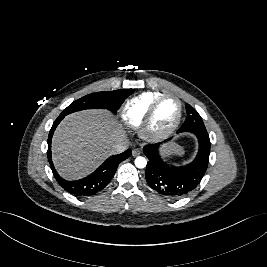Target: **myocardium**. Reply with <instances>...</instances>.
I'll return each instance as SVG.
<instances>
[{
  "label": "myocardium",
  "mask_w": 267,
  "mask_h": 267,
  "mask_svg": "<svg viewBox=\"0 0 267 267\" xmlns=\"http://www.w3.org/2000/svg\"><path fill=\"white\" fill-rule=\"evenodd\" d=\"M167 98H173L177 101V103H178L177 118H176L175 122L173 123V125L168 130H166L164 132H155L151 129L153 117L155 115V112H156L159 104ZM182 115H183V103H182L181 99L175 94H162L161 96L156 98L149 106V108H148V110H147V112H146V114L142 120V123L140 125L141 136L150 142H160V141H163V140L169 138L178 129V127L181 123V120H182Z\"/></svg>",
  "instance_id": "1"
}]
</instances>
